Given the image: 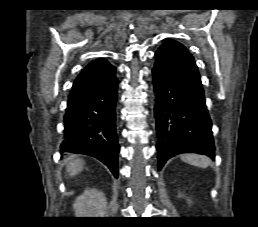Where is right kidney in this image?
I'll list each match as a JSON object with an SVG mask.
<instances>
[{
    "label": "right kidney",
    "mask_w": 258,
    "mask_h": 227,
    "mask_svg": "<svg viewBox=\"0 0 258 227\" xmlns=\"http://www.w3.org/2000/svg\"><path fill=\"white\" fill-rule=\"evenodd\" d=\"M76 217H104L107 200L103 192L87 189L78 196L73 204Z\"/></svg>",
    "instance_id": "ca27d5eb"
}]
</instances>
